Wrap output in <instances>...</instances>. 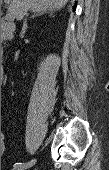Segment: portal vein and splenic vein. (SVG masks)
Instances as JSON below:
<instances>
[{
	"label": "portal vein and splenic vein",
	"mask_w": 109,
	"mask_h": 170,
	"mask_svg": "<svg viewBox=\"0 0 109 170\" xmlns=\"http://www.w3.org/2000/svg\"><path fill=\"white\" fill-rule=\"evenodd\" d=\"M14 14L11 11H8V13L6 14V19L7 20H14Z\"/></svg>",
	"instance_id": "obj_1"
}]
</instances>
